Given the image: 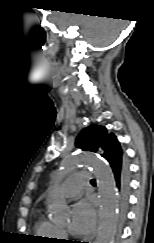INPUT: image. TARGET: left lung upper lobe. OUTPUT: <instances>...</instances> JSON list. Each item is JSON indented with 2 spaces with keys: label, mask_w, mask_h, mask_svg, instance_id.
Returning <instances> with one entry per match:
<instances>
[{
  "label": "left lung upper lobe",
  "mask_w": 154,
  "mask_h": 243,
  "mask_svg": "<svg viewBox=\"0 0 154 243\" xmlns=\"http://www.w3.org/2000/svg\"><path fill=\"white\" fill-rule=\"evenodd\" d=\"M76 146L84 151H101L109 163L114 159H123L122 149L113 133H108L107 129L99 125H91L83 129L76 139Z\"/></svg>",
  "instance_id": "1"
}]
</instances>
